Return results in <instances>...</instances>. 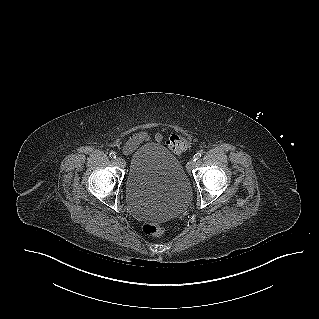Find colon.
<instances>
[{
	"label": "colon",
	"mask_w": 319,
	"mask_h": 319,
	"mask_svg": "<svg viewBox=\"0 0 319 319\" xmlns=\"http://www.w3.org/2000/svg\"><path fill=\"white\" fill-rule=\"evenodd\" d=\"M189 138L182 135H172L168 141V147L175 153H181L190 146ZM142 230L150 236H160L165 233V227L157 223H145L142 225Z\"/></svg>",
	"instance_id": "obj_1"
}]
</instances>
